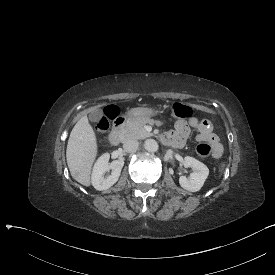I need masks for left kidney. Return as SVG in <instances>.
Segmentation results:
<instances>
[{
    "instance_id": "left-kidney-1",
    "label": "left kidney",
    "mask_w": 275,
    "mask_h": 275,
    "mask_svg": "<svg viewBox=\"0 0 275 275\" xmlns=\"http://www.w3.org/2000/svg\"><path fill=\"white\" fill-rule=\"evenodd\" d=\"M183 165L191 167L194 172L189 178L185 176L179 178L181 187L191 192L199 191L209 175V169L205 164L190 156L184 158Z\"/></svg>"
}]
</instances>
